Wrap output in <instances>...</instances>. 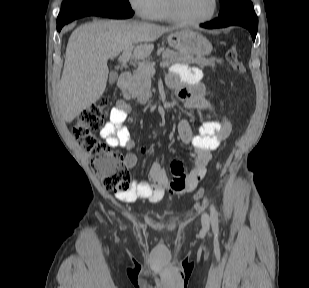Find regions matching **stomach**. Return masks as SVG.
Masks as SVG:
<instances>
[{"label": "stomach", "mask_w": 309, "mask_h": 288, "mask_svg": "<svg viewBox=\"0 0 309 288\" xmlns=\"http://www.w3.org/2000/svg\"><path fill=\"white\" fill-rule=\"evenodd\" d=\"M169 45L180 54L199 57L209 55L212 45L209 40L197 31L184 29L171 33L167 37Z\"/></svg>", "instance_id": "0dacf381"}]
</instances>
